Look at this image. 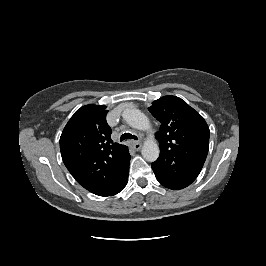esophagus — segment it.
I'll list each match as a JSON object with an SVG mask.
<instances>
[{
  "mask_svg": "<svg viewBox=\"0 0 266 266\" xmlns=\"http://www.w3.org/2000/svg\"><path fill=\"white\" fill-rule=\"evenodd\" d=\"M132 147H133L135 150H139V149L142 147V143H141V142H133V143H132Z\"/></svg>",
  "mask_w": 266,
  "mask_h": 266,
  "instance_id": "obj_1",
  "label": "esophagus"
}]
</instances>
